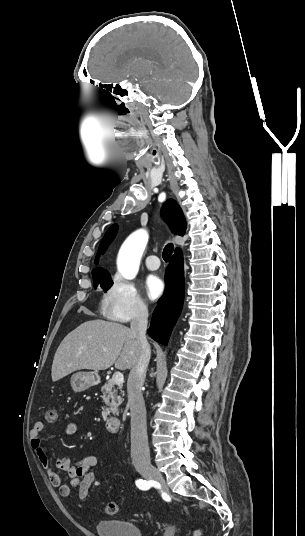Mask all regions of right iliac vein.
Wrapping results in <instances>:
<instances>
[{"label":"right iliac vein","mask_w":305,"mask_h":536,"mask_svg":"<svg viewBox=\"0 0 305 536\" xmlns=\"http://www.w3.org/2000/svg\"><path fill=\"white\" fill-rule=\"evenodd\" d=\"M138 471L141 473L145 478L150 480H155L159 482L162 489L166 491L167 486L166 483L162 477V474L152 465L149 464H143L138 466Z\"/></svg>","instance_id":"obj_1"}]
</instances>
